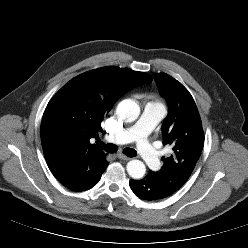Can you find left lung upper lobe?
Instances as JSON below:
<instances>
[{
    "label": "left lung upper lobe",
    "mask_w": 248,
    "mask_h": 248,
    "mask_svg": "<svg viewBox=\"0 0 248 248\" xmlns=\"http://www.w3.org/2000/svg\"><path fill=\"white\" fill-rule=\"evenodd\" d=\"M154 77L169 107L162 125L163 144H170L173 153L162 158L164 165L160 171L149 173L173 194L191 176L201 155L204 134L198 109L188 90L166 73H156Z\"/></svg>",
    "instance_id": "obj_1"
}]
</instances>
